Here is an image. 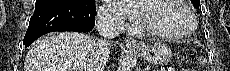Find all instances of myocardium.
Wrapping results in <instances>:
<instances>
[{"instance_id": "obj_1", "label": "myocardium", "mask_w": 230, "mask_h": 71, "mask_svg": "<svg viewBox=\"0 0 230 71\" xmlns=\"http://www.w3.org/2000/svg\"><path fill=\"white\" fill-rule=\"evenodd\" d=\"M145 1H152V0H145ZM174 1H176L180 6H182L190 16L191 27L186 32L180 34H173V33L158 31L147 24V22L144 20L143 14L140 15L141 21L139 25L134 29H137L142 33H146L149 36H152L153 38L161 39V40H183L190 37L197 29L198 26L197 17L193 12L192 8L185 1L183 0H174Z\"/></svg>"}]
</instances>
